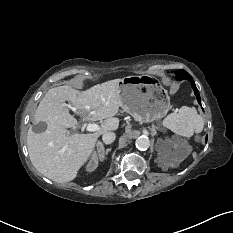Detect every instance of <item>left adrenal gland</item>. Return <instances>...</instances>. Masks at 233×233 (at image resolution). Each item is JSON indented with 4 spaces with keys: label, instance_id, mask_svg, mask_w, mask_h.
<instances>
[{
    "label": "left adrenal gland",
    "instance_id": "1",
    "mask_svg": "<svg viewBox=\"0 0 233 233\" xmlns=\"http://www.w3.org/2000/svg\"><path fill=\"white\" fill-rule=\"evenodd\" d=\"M151 132H152V135H153V136L156 134V130H155L154 127L151 129Z\"/></svg>",
    "mask_w": 233,
    "mask_h": 233
}]
</instances>
